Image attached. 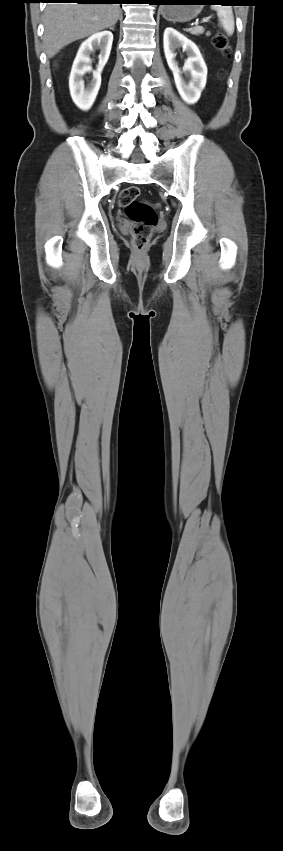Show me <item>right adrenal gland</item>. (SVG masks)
Returning a JSON list of instances; mask_svg holds the SVG:
<instances>
[{"mask_svg": "<svg viewBox=\"0 0 283 851\" xmlns=\"http://www.w3.org/2000/svg\"><path fill=\"white\" fill-rule=\"evenodd\" d=\"M110 29H111V30H114V26H113V27H111Z\"/></svg>", "mask_w": 283, "mask_h": 851, "instance_id": "right-adrenal-gland-1", "label": "right adrenal gland"}]
</instances>
